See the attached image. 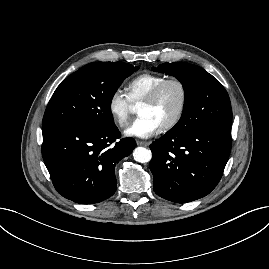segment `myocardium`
Here are the masks:
<instances>
[{"instance_id": "f54148a6", "label": "myocardium", "mask_w": 269, "mask_h": 269, "mask_svg": "<svg viewBox=\"0 0 269 269\" xmlns=\"http://www.w3.org/2000/svg\"><path fill=\"white\" fill-rule=\"evenodd\" d=\"M171 84H175L179 87L181 91V104H180L179 110L177 111L173 119L161 127V130L164 132L175 128L180 123V121L182 120L186 112L188 99H189V92H188V88L185 82L179 78H168L162 81L161 83H159L156 87H154L150 91V93L141 101V104H146V105H151L155 103L156 100L161 95L162 91L168 85H171Z\"/></svg>"}]
</instances>
